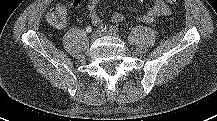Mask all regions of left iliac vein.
Returning a JSON list of instances; mask_svg holds the SVG:
<instances>
[{"instance_id": "4c4485c4", "label": "left iliac vein", "mask_w": 217, "mask_h": 121, "mask_svg": "<svg viewBox=\"0 0 217 121\" xmlns=\"http://www.w3.org/2000/svg\"><path fill=\"white\" fill-rule=\"evenodd\" d=\"M102 35H114V34L112 32H110V31H104L102 33Z\"/></svg>"}]
</instances>
